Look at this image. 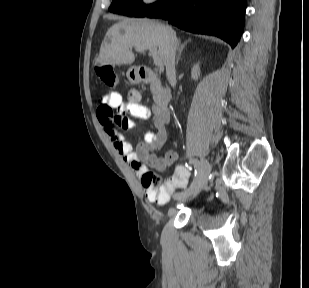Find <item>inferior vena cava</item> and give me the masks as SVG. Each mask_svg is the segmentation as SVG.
I'll use <instances>...</instances> for the list:
<instances>
[{"instance_id": "inferior-vena-cava-1", "label": "inferior vena cava", "mask_w": 309, "mask_h": 288, "mask_svg": "<svg viewBox=\"0 0 309 288\" xmlns=\"http://www.w3.org/2000/svg\"><path fill=\"white\" fill-rule=\"evenodd\" d=\"M177 39L172 29H169V47L166 57V75L171 86L176 84V70H175V54L177 48Z\"/></svg>"}]
</instances>
